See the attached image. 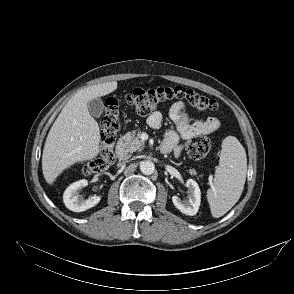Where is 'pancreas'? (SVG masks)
Wrapping results in <instances>:
<instances>
[{
    "mask_svg": "<svg viewBox=\"0 0 294 294\" xmlns=\"http://www.w3.org/2000/svg\"><path fill=\"white\" fill-rule=\"evenodd\" d=\"M141 132L137 134L135 132H129L125 135L126 143H127V151L135 152L137 150L141 151L144 146L145 142L140 138ZM191 175H196V171L194 169L189 170Z\"/></svg>",
    "mask_w": 294,
    "mask_h": 294,
    "instance_id": "1",
    "label": "pancreas"
}]
</instances>
